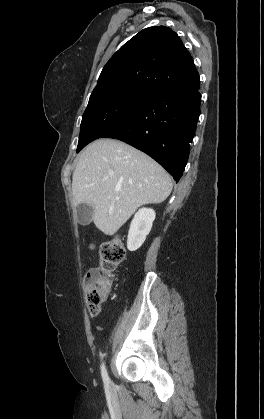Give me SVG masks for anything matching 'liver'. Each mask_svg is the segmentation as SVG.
Instances as JSON below:
<instances>
[{
  "mask_svg": "<svg viewBox=\"0 0 264 419\" xmlns=\"http://www.w3.org/2000/svg\"><path fill=\"white\" fill-rule=\"evenodd\" d=\"M172 191L169 174L148 155L114 139H99L81 153L72 176L73 205L93 207L92 220L106 235L145 204H158Z\"/></svg>",
  "mask_w": 264,
  "mask_h": 419,
  "instance_id": "1",
  "label": "liver"
}]
</instances>
